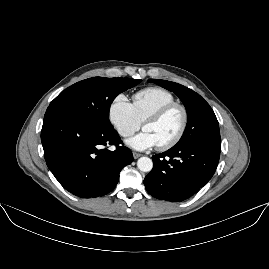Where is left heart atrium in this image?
<instances>
[{"label": "left heart atrium", "instance_id": "left-heart-atrium-1", "mask_svg": "<svg viewBox=\"0 0 269 269\" xmlns=\"http://www.w3.org/2000/svg\"><path fill=\"white\" fill-rule=\"evenodd\" d=\"M127 143L130 147L136 150L149 149L157 146L152 135L147 131L132 137Z\"/></svg>", "mask_w": 269, "mask_h": 269}]
</instances>
